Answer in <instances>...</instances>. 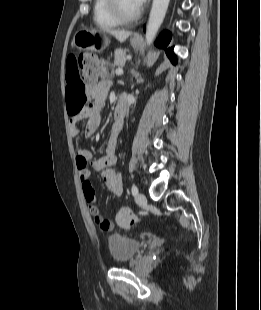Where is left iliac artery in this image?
<instances>
[{
    "label": "left iliac artery",
    "instance_id": "44dca946",
    "mask_svg": "<svg viewBox=\"0 0 261 310\" xmlns=\"http://www.w3.org/2000/svg\"><path fill=\"white\" fill-rule=\"evenodd\" d=\"M131 192H132V195H137V193H138V188H137V186L136 185H132V187H131Z\"/></svg>",
    "mask_w": 261,
    "mask_h": 310
}]
</instances>
